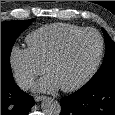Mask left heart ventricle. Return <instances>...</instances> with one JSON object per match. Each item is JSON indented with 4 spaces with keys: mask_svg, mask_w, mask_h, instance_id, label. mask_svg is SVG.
<instances>
[{
    "mask_svg": "<svg viewBox=\"0 0 115 115\" xmlns=\"http://www.w3.org/2000/svg\"><path fill=\"white\" fill-rule=\"evenodd\" d=\"M99 52V39L87 33L76 39L66 54L49 70L61 86H68L83 78L92 68Z\"/></svg>",
    "mask_w": 115,
    "mask_h": 115,
    "instance_id": "b2bd125f",
    "label": "left heart ventricle"
}]
</instances>
